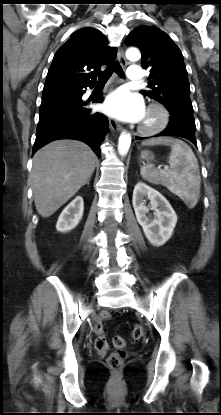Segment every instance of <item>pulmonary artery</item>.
<instances>
[{"label": "pulmonary artery", "mask_w": 221, "mask_h": 415, "mask_svg": "<svg viewBox=\"0 0 221 415\" xmlns=\"http://www.w3.org/2000/svg\"><path fill=\"white\" fill-rule=\"evenodd\" d=\"M127 78L131 81H138L142 78V69L137 65H131L127 69Z\"/></svg>", "instance_id": "pulmonary-artery-1"}]
</instances>
